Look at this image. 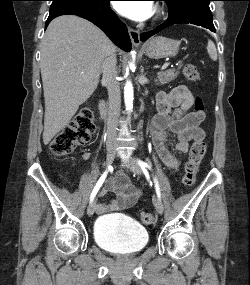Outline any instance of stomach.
<instances>
[{
	"mask_svg": "<svg viewBox=\"0 0 250 285\" xmlns=\"http://www.w3.org/2000/svg\"><path fill=\"white\" fill-rule=\"evenodd\" d=\"M179 50V42L166 37L158 36L145 45V54L152 59H161L175 56Z\"/></svg>",
	"mask_w": 250,
	"mask_h": 285,
	"instance_id": "obj_1",
	"label": "stomach"
}]
</instances>
